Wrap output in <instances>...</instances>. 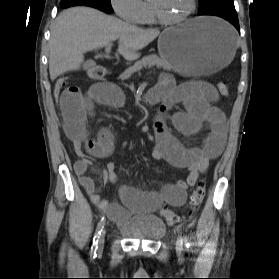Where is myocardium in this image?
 <instances>
[{"mask_svg":"<svg viewBox=\"0 0 279 279\" xmlns=\"http://www.w3.org/2000/svg\"><path fill=\"white\" fill-rule=\"evenodd\" d=\"M191 5L189 7V9L180 17L178 18H168L166 16L163 15V13L160 11V9L158 8V6L154 3L153 0H149V4L152 10V13L155 17V19L162 23V24H166V25H177L180 24L184 21H186L187 19H189L193 13L195 12L196 6H197V0H190Z\"/></svg>","mask_w":279,"mask_h":279,"instance_id":"obj_1","label":"myocardium"}]
</instances>
